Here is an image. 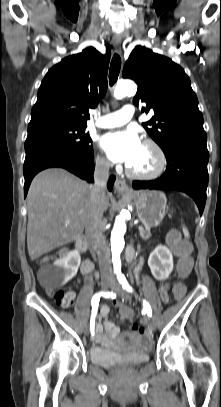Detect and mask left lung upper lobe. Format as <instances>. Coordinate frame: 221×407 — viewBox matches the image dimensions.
Here are the masks:
<instances>
[{
	"label": "left lung upper lobe",
	"mask_w": 221,
	"mask_h": 407,
	"mask_svg": "<svg viewBox=\"0 0 221 407\" xmlns=\"http://www.w3.org/2000/svg\"><path fill=\"white\" fill-rule=\"evenodd\" d=\"M136 81L133 103H146L142 112L151 114L143 123L151 138L166 151L172 140L183 133H203V116L198 99L184 70L171 59L137 46L131 52L122 73Z\"/></svg>",
	"instance_id": "5c2ea615"
}]
</instances>
